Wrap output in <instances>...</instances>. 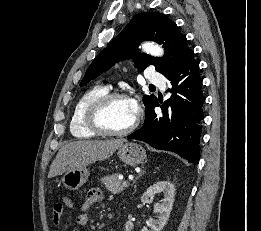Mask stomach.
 Returning <instances> with one entry per match:
<instances>
[{
	"label": "stomach",
	"mask_w": 261,
	"mask_h": 231,
	"mask_svg": "<svg viewBox=\"0 0 261 231\" xmlns=\"http://www.w3.org/2000/svg\"><path fill=\"white\" fill-rule=\"evenodd\" d=\"M118 155L121 161L129 166H137L146 159L145 150L138 144L125 142L118 148ZM89 177V170L86 167L67 171L62 177L63 185L69 190H77L83 186Z\"/></svg>",
	"instance_id": "obj_1"
}]
</instances>
